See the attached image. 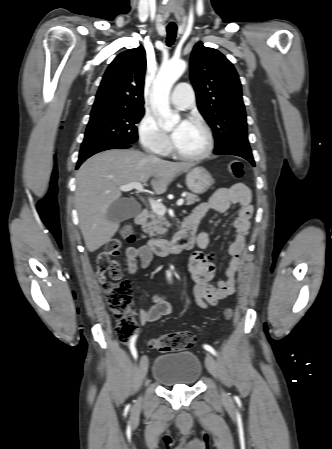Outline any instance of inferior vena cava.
<instances>
[{
	"label": "inferior vena cava",
	"mask_w": 332,
	"mask_h": 449,
	"mask_svg": "<svg viewBox=\"0 0 332 449\" xmlns=\"http://www.w3.org/2000/svg\"><path fill=\"white\" fill-rule=\"evenodd\" d=\"M151 159H153V160H158L159 158H157L156 156H154V155H150L149 156Z\"/></svg>",
	"instance_id": "1"
}]
</instances>
